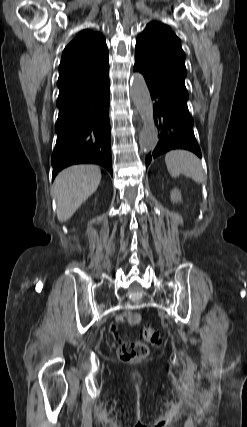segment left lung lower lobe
<instances>
[{"instance_id":"1","label":"left lung lower lobe","mask_w":247,"mask_h":427,"mask_svg":"<svg viewBox=\"0 0 247 427\" xmlns=\"http://www.w3.org/2000/svg\"><path fill=\"white\" fill-rule=\"evenodd\" d=\"M134 71L144 75L151 98L155 100L154 120L159 132L156 148L146 156V168L152 159L172 149H186L201 158L193 132V119L187 107L188 98L146 75L139 66L134 65Z\"/></svg>"}]
</instances>
